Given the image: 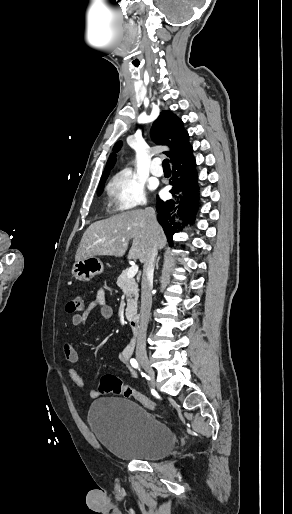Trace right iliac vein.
I'll return each instance as SVG.
<instances>
[{"label": "right iliac vein", "instance_id": "1", "mask_svg": "<svg viewBox=\"0 0 292 514\" xmlns=\"http://www.w3.org/2000/svg\"><path fill=\"white\" fill-rule=\"evenodd\" d=\"M138 362L145 369V371L148 373L149 378L151 380V384H152L153 387H155V374H154V371H153L152 367L150 366L148 358L146 356H144V355H139L138 356Z\"/></svg>", "mask_w": 292, "mask_h": 514}]
</instances>
